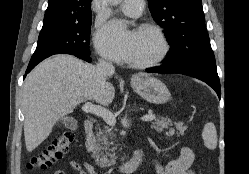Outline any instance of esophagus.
<instances>
[{
	"mask_svg": "<svg viewBox=\"0 0 249 174\" xmlns=\"http://www.w3.org/2000/svg\"><path fill=\"white\" fill-rule=\"evenodd\" d=\"M133 78L135 79V78H136V75H134Z\"/></svg>",
	"mask_w": 249,
	"mask_h": 174,
	"instance_id": "obj_1",
	"label": "esophagus"
}]
</instances>
